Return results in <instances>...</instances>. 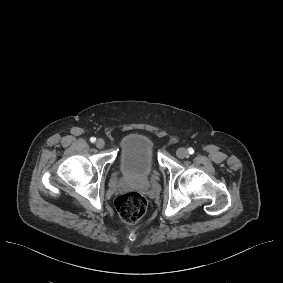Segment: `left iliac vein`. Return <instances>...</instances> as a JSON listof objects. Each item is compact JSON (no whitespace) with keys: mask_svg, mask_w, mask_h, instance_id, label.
I'll return each instance as SVG.
<instances>
[{"mask_svg":"<svg viewBox=\"0 0 283 283\" xmlns=\"http://www.w3.org/2000/svg\"><path fill=\"white\" fill-rule=\"evenodd\" d=\"M176 154L179 158L184 159L188 156V150L185 148H178Z\"/></svg>","mask_w":283,"mask_h":283,"instance_id":"left-iliac-vein-1","label":"left iliac vein"}]
</instances>
